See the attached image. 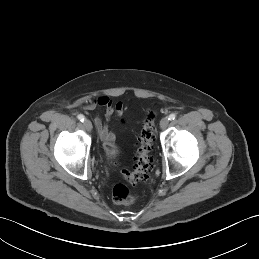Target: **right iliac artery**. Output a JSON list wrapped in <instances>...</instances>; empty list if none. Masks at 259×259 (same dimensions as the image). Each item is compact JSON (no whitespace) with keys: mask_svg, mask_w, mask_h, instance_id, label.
Segmentation results:
<instances>
[{"mask_svg":"<svg viewBox=\"0 0 259 259\" xmlns=\"http://www.w3.org/2000/svg\"><path fill=\"white\" fill-rule=\"evenodd\" d=\"M77 118H78L81 122H84V120H85V117H84V115H82V114H79V115L77 116Z\"/></svg>","mask_w":259,"mask_h":259,"instance_id":"right-iliac-artery-1","label":"right iliac artery"}]
</instances>
